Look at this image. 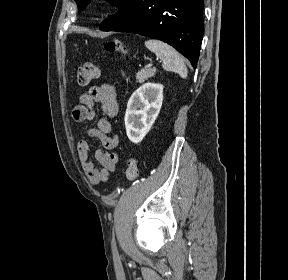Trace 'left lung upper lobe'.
Wrapping results in <instances>:
<instances>
[{
    "mask_svg": "<svg viewBox=\"0 0 288 280\" xmlns=\"http://www.w3.org/2000/svg\"><path fill=\"white\" fill-rule=\"evenodd\" d=\"M75 1L78 5L79 12L82 11V9H84L90 2V0H75ZM131 1L132 0H109V3L116 7H119L118 12L115 14L117 15L124 12Z\"/></svg>",
    "mask_w": 288,
    "mask_h": 280,
    "instance_id": "left-lung-upper-lobe-1",
    "label": "left lung upper lobe"
}]
</instances>
